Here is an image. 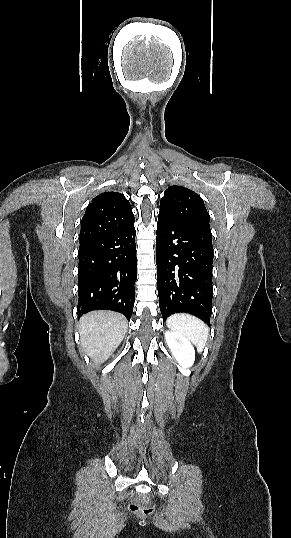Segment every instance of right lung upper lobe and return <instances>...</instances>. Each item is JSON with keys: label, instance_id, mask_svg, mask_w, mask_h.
<instances>
[{"label": "right lung upper lobe", "instance_id": "obj_1", "mask_svg": "<svg viewBox=\"0 0 291 538\" xmlns=\"http://www.w3.org/2000/svg\"><path fill=\"white\" fill-rule=\"evenodd\" d=\"M134 223L129 201L118 192H104L87 206L81 220L79 242L83 243L119 231Z\"/></svg>", "mask_w": 291, "mask_h": 538}]
</instances>
